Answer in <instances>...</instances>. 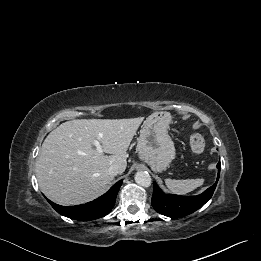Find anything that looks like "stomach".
Returning <instances> with one entry per match:
<instances>
[{"mask_svg": "<svg viewBox=\"0 0 261 261\" xmlns=\"http://www.w3.org/2000/svg\"><path fill=\"white\" fill-rule=\"evenodd\" d=\"M171 115L168 112H154L144 121L137 149L142 160L154 171H164L175 157V147L168 135Z\"/></svg>", "mask_w": 261, "mask_h": 261, "instance_id": "obj_1", "label": "stomach"}]
</instances>
